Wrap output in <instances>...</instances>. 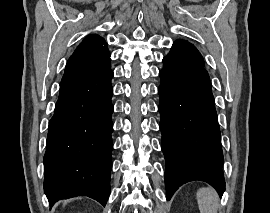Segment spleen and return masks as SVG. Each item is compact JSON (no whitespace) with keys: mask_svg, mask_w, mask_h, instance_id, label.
Segmentation results:
<instances>
[{"mask_svg":"<svg viewBox=\"0 0 270 213\" xmlns=\"http://www.w3.org/2000/svg\"><path fill=\"white\" fill-rule=\"evenodd\" d=\"M200 213H217L219 198L212 188H201L196 194Z\"/></svg>","mask_w":270,"mask_h":213,"instance_id":"3e777b00","label":"spleen"}]
</instances>
